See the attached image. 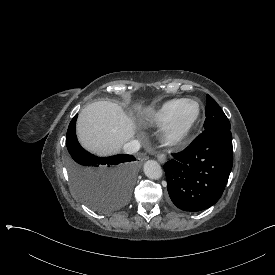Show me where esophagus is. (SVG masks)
<instances>
[{
    "label": "esophagus",
    "mask_w": 275,
    "mask_h": 275,
    "mask_svg": "<svg viewBox=\"0 0 275 275\" xmlns=\"http://www.w3.org/2000/svg\"><path fill=\"white\" fill-rule=\"evenodd\" d=\"M144 159H147V157L144 156ZM157 159L159 162L164 163V162H166L167 157L165 154H159Z\"/></svg>",
    "instance_id": "34e87169"
}]
</instances>
